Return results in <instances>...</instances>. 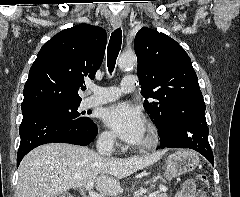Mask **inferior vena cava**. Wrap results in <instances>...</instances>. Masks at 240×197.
<instances>
[{"label":"inferior vena cava","mask_w":240,"mask_h":197,"mask_svg":"<svg viewBox=\"0 0 240 197\" xmlns=\"http://www.w3.org/2000/svg\"><path fill=\"white\" fill-rule=\"evenodd\" d=\"M115 136L113 134L102 135L97 140V150L103 156H110L113 152Z\"/></svg>","instance_id":"obj_1"}]
</instances>
